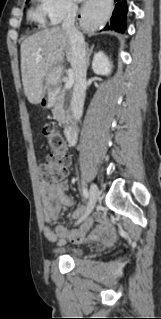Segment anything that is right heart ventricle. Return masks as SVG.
<instances>
[{"mask_svg":"<svg viewBox=\"0 0 161 319\" xmlns=\"http://www.w3.org/2000/svg\"><path fill=\"white\" fill-rule=\"evenodd\" d=\"M30 18L34 21H37L39 23H45L46 22V14L44 13L42 7H39L37 9H33L30 11L29 14Z\"/></svg>","mask_w":161,"mask_h":319,"instance_id":"e07e8e85","label":"right heart ventricle"}]
</instances>
